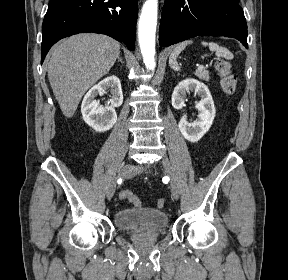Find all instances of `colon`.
Instances as JSON below:
<instances>
[{"mask_svg":"<svg viewBox=\"0 0 288 280\" xmlns=\"http://www.w3.org/2000/svg\"><path fill=\"white\" fill-rule=\"evenodd\" d=\"M215 70L220 77V86L222 91L228 95L233 94L236 90L237 79L235 74L233 73L230 62L223 59L216 61ZM120 197L124 200L129 201L134 206H141L140 199L130 191H123L120 194ZM157 206L160 209L163 208L165 206V200L158 199Z\"/></svg>","mask_w":288,"mask_h":280,"instance_id":"5ec220e1","label":"colon"}]
</instances>
